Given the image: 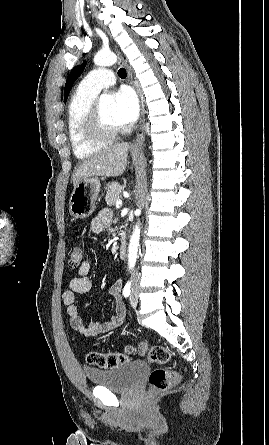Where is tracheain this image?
I'll list each match as a JSON object with an SVG mask.
<instances>
[{
	"label": "trachea",
	"instance_id": "obj_1",
	"mask_svg": "<svg viewBox=\"0 0 269 445\" xmlns=\"http://www.w3.org/2000/svg\"><path fill=\"white\" fill-rule=\"evenodd\" d=\"M118 75L122 79L126 78V76H127L126 70L124 68H120L118 71Z\"/></svg>",
	"mask_w": 269,
	"mask_h": 445
}]
</instances>
